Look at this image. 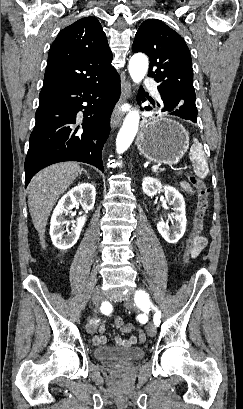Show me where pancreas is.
<instances>
[{"label":"pancreas","mask_w":243,"mask_h":409,"mask_svg":"<svg viewBox=\"0 0 243 409\" xmlns=\"http://www.w3.org/2000/svg\"><path fill=\"white\" fill-rule=\"evenodd\" d=\"M160 171H164V169H161ZM155 172H157V171H155Z\"/></svg>","instance_id":"cf45deb5"}]
</instances>
